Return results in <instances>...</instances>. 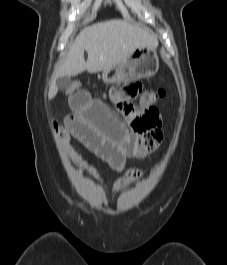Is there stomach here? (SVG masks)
Listing matches in <instances>:
<instances>
[{
  "instance_id": "1",
  "label": "stomach",
  "mask_w": 227,
  "mask_h": 265,
  "mask_svg": "<svg viewBox=\"0 0 227 265\" xmlns=\"http://www.w3.org/2000/svg\"><path fill=\"white\" fill-rule=\"evenodd\" d=\"M159 68L155 47H139L118 65L102 71L106 84H119L154 76Z\"/></svg>"
}]
</instances>
